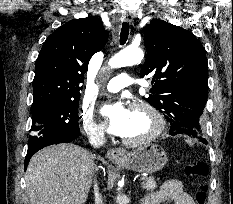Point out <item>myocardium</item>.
Returning a JSON list of instances; mask_svg holds the SVG:
<instances>
[{"instance_id": "myocardium-1", "label": "myocardium", "mask_w": 233, "mask_h": 204, "mask_svg": "<svg viewBox=\"0 0 233 204\" xmlns=\"http://www.w3.org/2000/svg\"><path fill=\"white\" fill-rule=\"evenodd\" d=\"M134 109L145 110L150 115V117L154 122L153 130L144 137L138 139H127L124 137L121 138L122 142L125 145L137 147V146L149 144L154 140H156L163 133L165 129V120L163 115L159 112V110L148 101L137 100L132 102L130 104V110H134Z\"/></svg>"}]
</instances>
